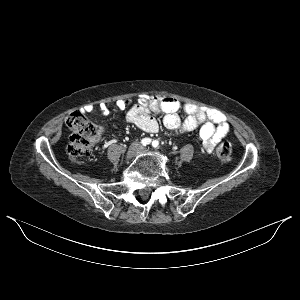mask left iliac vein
<instances>
[{"instance_id": "1", "label": "left iliac vein", "mask_w": 300, "mask_h": 300, "mask_svg": "<svg viewBox=\"0 0 300 300\" xmlns=\"http://www.w3.org/2000/svg\"><path fill=\"white\" fill-rule=\"evenodd\" d=\"M145 150H146L145 148H142V149H141L142 152H144Z\"/></svg>"}]
</instances>
